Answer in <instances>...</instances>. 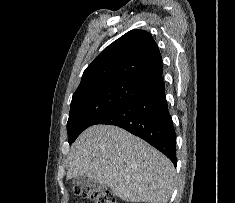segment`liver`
I'll return each mask as SVG.
<instances>
[{"label": "liver", "instance_id": "1", "mask_svg": "<svg viewBox=\"0 0 235 203\" xmlns=\"http://www.w3.org/2000/svg\"><path fill=\"white\" fill-rule=\"evenodd\" d=\"M67 178L106 184L126 202L167 203L175 179L171 161L141 138L111 125L87 128L73 143Z\"/></svg>", "mask_w": 235, "mask_h": 203}]
</instances>
